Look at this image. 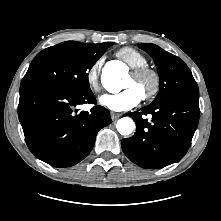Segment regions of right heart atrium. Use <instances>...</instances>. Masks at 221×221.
Returning a JSON list of instances; mask_svg holds the SVG:
<instances>
[{
    "label": "right heart atrium",
    "mask_w": 221,
    "mask_h": 221,
    "mask_svg": "<svg viewBox=\"0 0 221 221\" xmlns=\"http://www.w3.org/2000/svg\"><path fill=\"white\" fill-rule=\"evenodd\" d=\"M104 58L101 56L97 58L86 70V81L89 87L94 90L98 91L100 89L99 86V75L100 70L103 64Z\"/></svg>",
    "instance_id": "1"
}]
</instances>
